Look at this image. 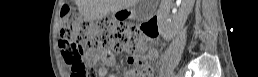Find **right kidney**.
<instances>
[{"label": "right kidney", "mask_w": 258, "mask_h": 77, "mask_svg": "<svg viewBox=\"0 0 258 77\" xmlns=\"http://www.w3.org/2000/svg\"><path fill=\"white\" fill-rule=\"evenodd\" d=\"M176 2H177V4H178V2H181V0H177ZM189 3H190V5L187 6V7L182 11V19H181L180 24H178V26L183 25V23H184L186 17H187L188 14L191 12V9H192L194 0H189ZM171 4H172V1H171L170 4H165L164 2H162L161 8H164L165 10H161V11L159 12V18H160V19H162V18L167 19V18H168L169 9H170V5H171ZM179 4H180V3H179ZM178 26H177V28H178Z\"/></svg>", "instance_id": "obj_1"}]
</instances>
